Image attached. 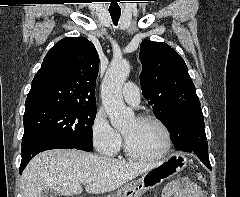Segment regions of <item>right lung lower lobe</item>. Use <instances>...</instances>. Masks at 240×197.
Wrapping results in <instances>:
<instances>
[{"label":"right lung lower lobe","instance_id":"right-lung-lower-lobe-1","mask_svg":"<svg viewBox=\"0 0 240 197\" xmlns=\"http://www.w3.org/2000/svg\"><path fill=\"white\" fill-rule=\"evenodd\" d=\"M50 149H73L70 145L58 141L47 140L43 142L27 143L22 146V161L20 165V174L28 162L38 153Z\"/></svg>","mask_w":240,"mask_h":197}]
</instances>
